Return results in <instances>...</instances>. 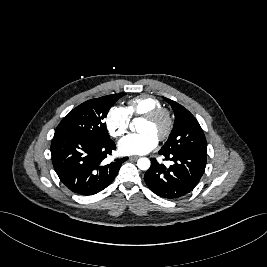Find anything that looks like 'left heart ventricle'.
Masks as SVG:
<instances>
[{
  "mask_svg": "<svg viewBox=\"0 0 267 267\" xmlns=\"http://www.w3.org/2000/svg\"><path fill=\"white\" fill-rule=\"evenodd\" d=\"M163 127L164 122L162 120L157 122L143 120L138 127V131L140 133H150L158 138L159 134L163 130Z\"/></svg>",
  "mask_w": 267,
  "mask_h": 267,
  "instance_id": "b2bd125f",
  "label": "left heart ventricle"
}]
</instances>
